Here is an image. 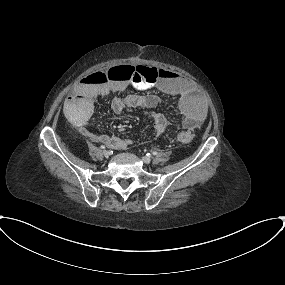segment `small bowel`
<instances>
[{
    "label": "small bowel",
    "mask_w": 285,
    "mask_h": 285,
    "mask_svg": "<svg viewBox=\"0 0 285 285\" xmlns=\"http://www.w3.org/2000/svg\"><path fill=\"white\" fill-rule=\"evenodd\" d=\"M125 65H119L121 67ZM111 69V68H110ZM108 70H101L107 73ZM130 85H136L140 90H158L164 94L177 98V110L181 115V125L184 132L191 134L198 128L206 118L204 102L197 93L193 83L180 74L162 69L159 71L157 81L131 83L121 79L109 78L105 84H94L81 80L76 90L68 96L63 104V111L67 119L79 128L85 136L95 141H101L112 149L122 150L128 148L133 140L116 136L101 135L97 136L84 128V124L90 119L94 109V99L99 96L107 95L111 92H121ZM159 96L153 93L143 95L131 94L119 96L112 100L111 108L115 113H122L127 108L132 109H153L160 104ZM154 123V136L163 134L169 122L167 118L158 112L152 114Z\"/></svg>",
    "instance_id": "c3829d8e"
}]
</instances>
